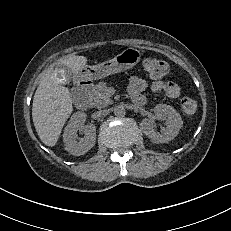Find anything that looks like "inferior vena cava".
Segmentation results:
<instances>
[{
    "mask_svg": "<svg viewBox=\"0 0 231 231\" xmlns=\"http://www.w3.org/2000/svg\"><path fill=\"white\" fill-rule=\"evenodd\" d=\"M109 109L99 110L95 113L96 117L106 116L109 114Z\"/></svg>",
    "mask_w": 231,
    "mask_h": 231,
    "instance_id": "1",
    "label": "inferior vena cava"
}]
</instances>
